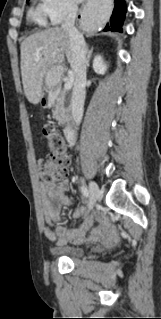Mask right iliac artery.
<instances>
[{
    "label": "right iliac artery",
    "mask_w": 161,
    "mask_h": 319,
    "mask_svg": "<svg viewBox=\"0 0 161 319\" xmlns=\"http://www.w3.org/2000/svg\"><path fill=\"white\" fill-rule=\"evenodd\" d=\"M81 191H82V194L86 197V198H88L89 197V191H88V189L86 188V187H81Z\"/></svg>",
    "instance_id": "right-iliac-artery-1"
}]
</instances>
